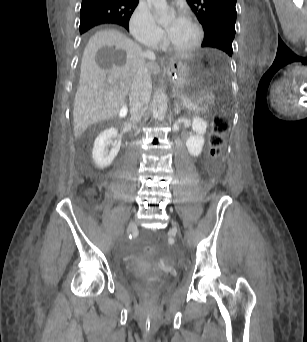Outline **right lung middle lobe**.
<instances>
[{
  "label": "right lung middle lobe",
  "mask_w": 307,
  "mask_h": 342,
  "mask_svg": "<svg viewBox=\"0 0 307 342\" xmlns=\"http://www.w3.org/2000/svg\"><path fill=\"white\" fill-rule=\"evenodd\" d=\"M80 15V33H84L94 26L117 20V15L108 11L84 10L80 11Z\"/></svg>",
  "instance_id": "right-lung-middle-lobe-1"
}]
</instances>
